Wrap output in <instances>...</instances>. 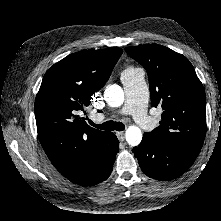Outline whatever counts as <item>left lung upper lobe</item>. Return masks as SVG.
Returning <instances> with one entry per match:
<instances>
[{
  "label": "left lung upper lobe",
  "mask_w": 221,
  "mask_h": 221,
  "mask_svg": "<svg viewBox=\"0 0 221 221\" xmlns=\"http://www.w3.org/2000/svg\"><path fill=\"white\" fill-rule=\"evenodd\" d=\"M125 51L146 69L152 106L163 111L160 125L143 137L198 156L206 134V96L192 64L158 44L126 47Z\"/></svg>",
  "instance_id": "obj_1"
}]
</instances>
